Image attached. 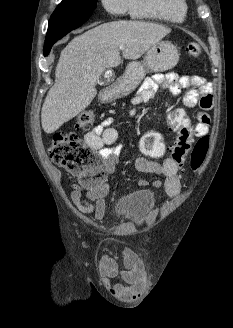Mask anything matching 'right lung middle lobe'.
Returning <instances> with one entry per match:
<instances>
[{
	"label": "right lung middle lobe",
	"instance_id": "dd1d6c3e",
	"mask_svg": "<svg viewBox=\"0 0 233 328\" xmlns=\"http://www.w3.org/2000/svg\"><path fill=\"white\" fill-rule=\"evenodd\" d=\"M97 0H63L52 18H89L96 7Z\"/></svg>",
	"mask_w": 233,
	"mask_h": 328
}]
</instances>
